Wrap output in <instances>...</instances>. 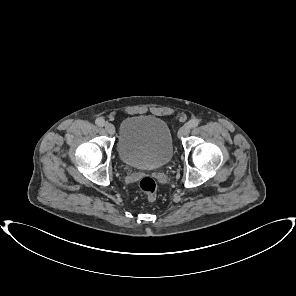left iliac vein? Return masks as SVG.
Here are the masks:
<instances>
[{
  "label": "left iliac vein",
  "mask_w": 296,
  "mask_h": 296,
  "mask_svg": "<svg viewBox=\"0 0 296 296\" xmlns=\"http://www.w3.org/2000/svg\"><path fill=\"white\" fill-rule=\"evenodd\" d=\"M190 126L189 125H184L180 128V130L178 131V137L182 138L185 137L189 134L190 132Z\"/></svg>",
  "instance_id": "4c4485c4"
}]
</instances>
